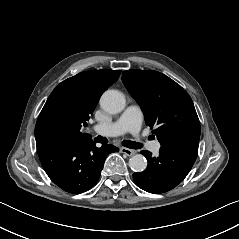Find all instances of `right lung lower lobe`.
<instances>
[{
    "mask_svg": "<svg viewBox=\"0 0 239 239\" xmlns=\"http://www.w3.org/2000/svg\"><path fill=\"white\" fill-rule=\"evenodd\" d=\"M41 164L49 178L69 193H82L98 181L106 156L119 150L112 145L100 148L92 139L74 142L52 138L36 144Z\"/></svg>",
    "mask_w": 239,
    "mask_h": 239,
    "instance_id": "obj_1",
    "label": "right lung lower lobe"
}]
</instances>
